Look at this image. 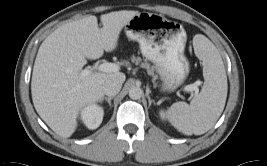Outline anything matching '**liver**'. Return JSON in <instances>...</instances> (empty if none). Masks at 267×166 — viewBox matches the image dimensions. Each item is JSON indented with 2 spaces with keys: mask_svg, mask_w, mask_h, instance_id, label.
I'll return each instance as SVG.
<instances>
[{
  "mask_svg": "<svg viewBox=\"0 0 267 166\" xmlns=\"http://www.w3.org/2000/svg\"><path fill=\"white\" fill-rule=\"evenodd\" d=\"M138 11H115L90 15L66 23L42 42L33 67L31 94L42 120L59 136L68 138L78 126L82 110L104 99L103 85L109 79L122 83L121 72H94L81 77L86 58L96 60L104 51L116 49L123 27Z\"/></svg>",
  "mask_w": 267,
  "mask_h": 166,
  "instance_id": "1",
  "label": "liver"
}]
</instances>
